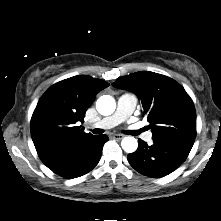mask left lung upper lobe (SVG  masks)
<instances>
[{"label":"left lung upper lobe","instance_id":"5c2ea615","mask_svg":"<svg viewBox=\"0 0 221 221\" xmlns=\"http://www.w3.org/2000/svg\"><path fill=\"white\" fill-rule=\"evenodd\" d=\"M112 85L132 91L141 100L152 139L193 146L196 112L192 99L178 82L158 73L141 71L118 78Z\"/></svg>","mask_w":221,"mask_h":221}]
</instances>
